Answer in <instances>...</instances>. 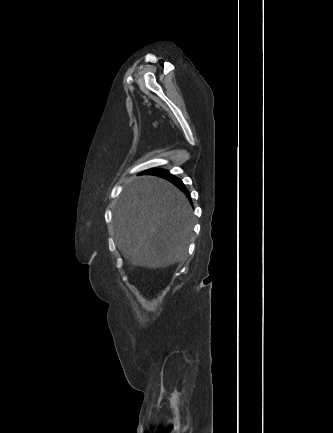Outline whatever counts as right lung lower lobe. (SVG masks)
Wrapping results in <instances>:
<instances>
[{"instance_id": "1", "label": "right lung lower lobe", "mask_w": 333, "mask_h": 433, "mask_svg": "<svg viewBox=\"0 0 333 433\" xmlns=\"http://www.w3.org/2000/svg\"><path fill=\"white\" fill-rule=\"evenodd\" d=\"M143 174H151V175H156V176L162 177V178L170 181L174 185H176L180 190H182L185 194H187L188 197H190L189 196V192L186 189V187L183 184V182L179 178H177L174 175L170 174L166 170L152 169V170L144 172Z\"/></svg>"}]
</instances>
